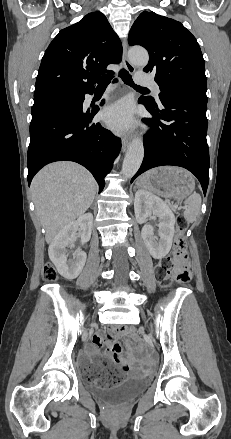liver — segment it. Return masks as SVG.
I'll return each mask as SVG.
<instances>
[{
	"label": "liver",
	"mask_w": 231,
	"mask_h": 439,
	"mask_svg": "<svg viewBox=\"0 0 231 439\" xmlns=\"http://www.w3.org/2000/svg\"><path fill=\"white\" fill-rule=\"evenodd\" d=\"M96 190L91 173L77 163L55 162L36 174L31 192L47 243L87 211Z\"/></svg>",
	"instance_id": "1"
}]
</instances>
